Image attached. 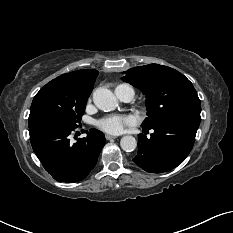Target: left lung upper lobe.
Masks as SVG:
<instances>
[{
  "mask_svg": "<svg viewBox=\"0 0 233 233\" xmlns=\"http://www.w3.org/2000/svg\"><path fill=\"white\" fill-rule=\"evenodd\" d=\"M122 80L140 89L147 97L148 117L142 124L169 119L200 122L201 103L192 83L180 72L167 66L149 64L127 70Z\"/></svg>",
  "mask_w": 233,
  "mask_h": 233,
  "instance_id": "1",
  "label": "left lung upper lobe"
}]
</instances>
